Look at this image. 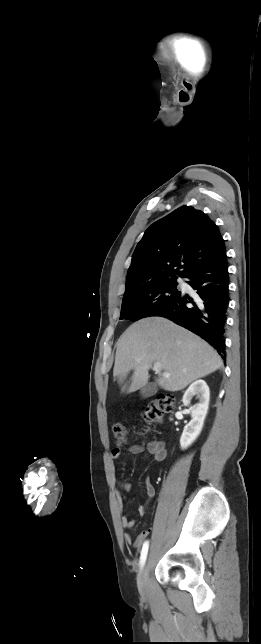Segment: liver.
<instances>
[{
	"instance_id": "1",
	"label": "liver",
	"mask_w": 261,
	"mask_h": 644,
	"mask_svg": "<svg viewBox=\"0 0 261 644\" xmlns=\"http://www.w3.org/2000/svg\"><path fill=\"white\" fill-rule=\"evenodd\" d=\"M155 362L161 370L155 380L166 391H179L223 367L218 353L192 332L162 317L141 319L127 328L117 342L113 376L122 383L134 370L128 392L144 387Z\"/></svg>"
}]
</instances>
